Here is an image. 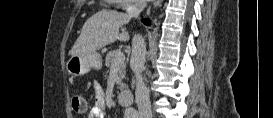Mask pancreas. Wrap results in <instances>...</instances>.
Masks as SVG:
<instances>
[{
	"mask_svg": "<svg viewBox=\"0 0 273 118\" xmlns=\"http://www.w3.org/2000/svg\"><path fill=\"white\" fill-rule=\"evenodd\" d=\"M118 52H121L119 49L111 50L108 52L105 58V65L107 67L112 66L113 64L117 63L118 67V89L119 90H124L126 88L125 84L122 82V80L125 78L126 75V62L125 60H121L119 62L116 61V55Z\"/></svg>",
	"mask_w": 273,
	"mask_h": 118,
	"instance_id": "cf45deb5",
	"label": "pancreas"
}]
</instances>
